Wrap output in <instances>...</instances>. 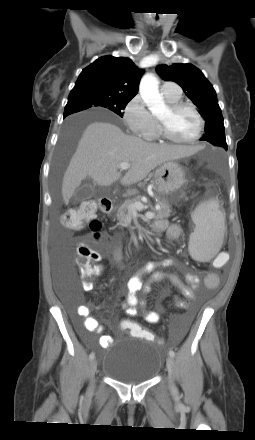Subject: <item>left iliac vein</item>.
Segmentation results:
<instances>
[{
    "label": "left iliac vein",
    "mask_w": 255,
    "mask_h": 440,
    "mask_svg": "<svg viewBox=\"0 0 255 440\" xmlns=\"http://www.w3.org/2000/svg\"><path fill=\"white\" fill-rule=\"evenodd\" d=\"M166 366H167V370L169 373V380H170V384L173 387V375H174V368H175V362L173 357L168 356L166 359Z\"/></svg>",
    "instance_id": "obj_1"
}]
</instances>
